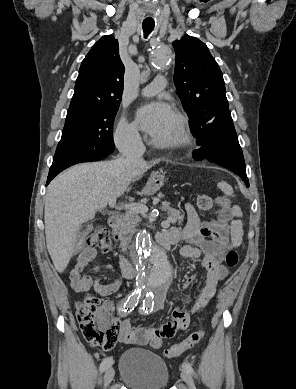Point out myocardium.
<instances>
[{"instance_id":"1","label":"myocardium","mask_w":296,"mask_h":389,"mask_svg":"<svg viewBox=\"0 0 296 389\" xmlns=\"http://www.w3.org/2000/svg\"><path fill=\"white\" fill-rule=\"evenodd\" d=\"M177 121V133L169 140H159L154 138L153 144L164 149H175L186 145L190 141V131L186 116L180 112H174Z\"/></svg>"}]
</instances>
